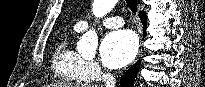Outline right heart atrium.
<instances>
[{
    "label": "right heart atrium",
    "instance_id": "d8ad5b80",
    "mask_svg": "<svg viewBox=\"0 0 205 87\" xmlns=\"http://www.w3.org/2000/svg\"><path fill=\"white\" fill-rule=\"evenodd\" d=\"M82 72L88 79H96L102 74V69L96 61L84 60Z\"/></svg>",
    "mask_w": 205,
    "mask_h": 87
}]
</instances>
